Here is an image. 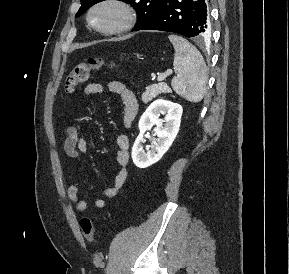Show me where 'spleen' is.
<instances>
[{
  "instance_id": "1",
  "label": "spleen",
  "mask_w": 289,
  "mask_h": 274,
  "mask_svg": "<svg viewBox=\"0 0 289 274\" xmlns=\"http://www.w3.org/2000/svg\"><path fill=\"white\" fill-rule=\"evenodd\" d=\"M175 49L174 70L177 76L172 79L173 90L190 102H199L206 92L208 70L201 53L186 39L169 35Z\"/></svg>"
}]
</instances>
